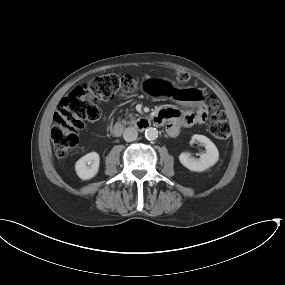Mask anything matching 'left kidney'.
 Here are the masks:
<instances>
[{
    "instance_id": "left-kidney-1",
    "label": "left kidney",
    "mask_w": 285,
    "mask_h": 285,
    "mask_svg": "<svg viewBox=\"0 0 285 285\" xmlns=\"http://www.w3.org/2000/svg\"><path fill=\"white\" fill-rule=\"evenodd\" d=\"M194 141L200 142L205 147V153L201 154L199 159H195L191 157L190 153L183 152L180 154L179 160L189 170L202 172L218 161L219 152L215 144L204 135H193L191 142Z\"/></svg>"
}]
</instances>
